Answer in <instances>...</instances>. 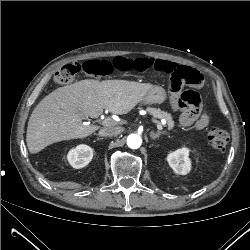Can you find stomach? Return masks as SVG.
<instances>
[{"label": "stomach", "instance_id": "0dacf381", "mask_svg": "<svg viewBox=\"0 0 250 250\" xmlns=\"http://www.w3.org/2000/svg\"><path fill=\"white\" fill-rule=\"evenodd\" d=\"M167 99L166 91L159 86L151 88L142 99L144 104H161Z\"/></svg>", "mask_w": 250, "mask_h": 250}]
</instances>
